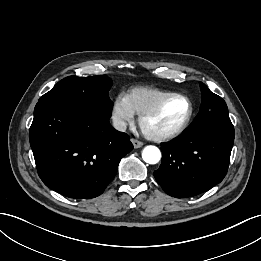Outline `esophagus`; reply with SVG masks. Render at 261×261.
I'll list each match as a JSON object with an SVG mask.
<instances>
[{
	"instance_id": "34e87169",
	"label": "esophagus",
	"mask_w": 261,
	"mask_h": 261,
	"mask_svg": "<svg viewBox=\"0 0 261 261\" xmlns=\"http://www.w3.org/2000/svg\"><path fill=\"white\" fill-rule=\"evenodd\" d=\"M131 142H132L134 148H140V147L143 146V142H141V141H139V140H137L135 138H132Z\"/></svg>"
}]
</instances>
